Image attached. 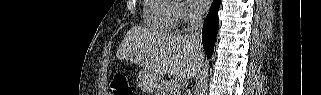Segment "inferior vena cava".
<instances>
[{
	"instance_id": "1",
	"label": "inferior vena cava",
	"mask_w": 321,
	"mask_h": 95,
	"mask_svg": "<svg viewBox=\"0 0 321 95\" xmlns=\"http://www.w3.org/2000/svg\"><path fill=\"white\" fill-rule=\"evenodd\" d=\"M203 20L199 13H190V27L188 38L199 49H202L201 33H202ZM185 95H191V91L188 89Z\"/></svg>"
}]
</instances>
